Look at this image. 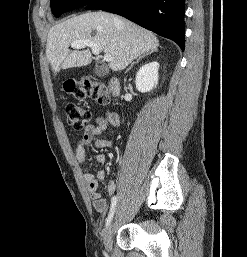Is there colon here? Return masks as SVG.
Returning a JSON list of instances; mask_svg holds the SVG:
<instances>
[{
	"label": "colon",
	"mask_w": 247,
	"mask_h": 257,
	"mask_svg": "<svg viewBox=\"0 0 247 257\" xmlns=\"http://www.w3.org/2000/svg\"><path fill=\"white\" fill-rule=\"evenodd\" d=\"M63 88L67 95H70L77 100L91 98L103 105L109 103L107 87L103 83L89 78L68 80L64 83ZM65 113L69 125L76 130L85 128L92 120V114L90 111L72 102L66 103Z\"/></svg>",
	"instance_id": "obj_1"
}]
</instances>
